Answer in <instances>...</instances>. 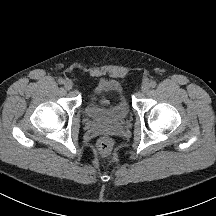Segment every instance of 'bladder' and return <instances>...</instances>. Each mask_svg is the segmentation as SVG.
Masks as SVG:
<instances>
[{
  "mask_svg": "<svg viewBox=\"0 0 216 216\" xmlns=\"http://www.w3.org/2000/svg\"><path fill=\"white\" fill-rule=\"evenodd\" d=\"M102 94L109 97L105 107L97 105L98 97ZM85 114L99 123L120 125L125 122L129 115V106L121 85L109 80L99 81L88 96Z\"/></svg>",
  "mask_w": 216,
  "mask_h": 216,
  "instance_id": "obj_1",
  "label": "bladder"
}]
</instances>
